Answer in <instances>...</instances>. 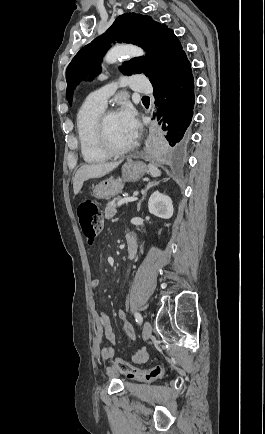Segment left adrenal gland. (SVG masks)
I'll return each instance as SVG.
<instances>
[{"label":"left adrenal gland","mask_w":265,"mask_h":434,"mask_svg":"<svg viewBox=\"0 0 265 434\" xmlns=\"http://www.w3.org/2000/svg\"><path fill=\"white\" fill-rule=\"evenodd\" d=\"M158 184H159V182H148V184L144 190V194H143L141 200H139V202L137 204V212H140L141 204H142L143 200H145V198H146L147 190H149V188H152V186H158Z\"/></svg>","instance_id":"1"}]
</instances>
